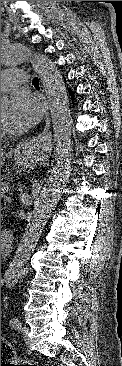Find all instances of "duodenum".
Segmentation results:
<instances>
[{
  "label": "duodenum",
  "instance_id": "1",
  "mask_svg": "<svg viewBox=\"0 0 122 366\" xmlns=\"http://www.w3.org/2000/svg\"><path fill=\"white\" fill-rule=\"evenodd\" d=\"M13 237L10 233H1V252L7 251L12 246Z\"/></svg>",
  "mask_w": 122,
  "mask_h": 366
}]
</instances>
